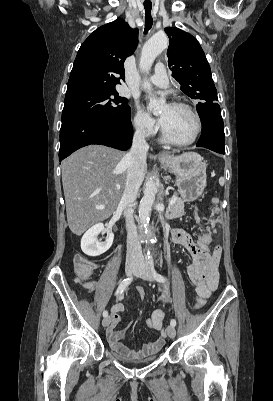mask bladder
<instances>
[{
    "label": "bladder",
    "instance_id": "31cf9c89",
    "mask_svg": "<svg viewBox=\"0 0 273 401\" xmlns=\"http://www.w3.org/2000/svg\"><path fill=\"white\" fill-rule=\"evenodd\" d=\"M111 356L116 361H118L120 363H123V364H128V365L148 364V363H151V362L155 361L158 358L157 355H152V356L147 357V358L142 359V360L133 361V360H129V359L121 356L120 354H118L115 351H111Z\"/></svg>",
    "mask_w": 273,
    "mask_h": 401
}]
</instances>
